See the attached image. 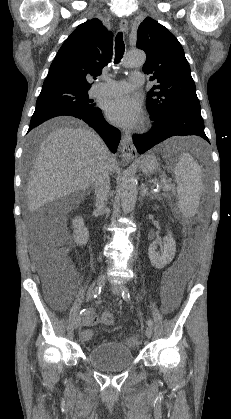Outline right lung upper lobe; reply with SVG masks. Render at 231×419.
I'll return each instance as SVG.
<instances>
[{"label":"right lung upper lobe","instance_id":"right-lung-upper-lobe-1","mask_svg":"<svg viewBox=\"0 0 231 419\" xmlns=\"http://www.w3.org/2000/svg\"><path fill=\"white\" fill-rule=\"evenodd\" d=\"M112 47L113 34L99 19L80 24L59 49L43 87L66 85L89 90V80L110 62Z\"/></svg>","mask_w":231,"mask_h":419}]
</instances>
